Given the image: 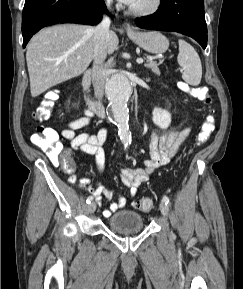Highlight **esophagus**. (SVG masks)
<instances>
[{
  "mask_svg": "<svg viewBox=\"0 0 243 289\" xmlns=\"http://www.w3.org/2000/svg\"><path fill=\"white\" fill-rule=\"evenodd\" d=\"M125 29L127 32H133L134 31L133 28L129 24H126Z\"/></svg>",
  "mask_w": 243,
  "mask_h": 289,
  "instance_id": "1",
  "label": "esophagus"
}]
</instances>
